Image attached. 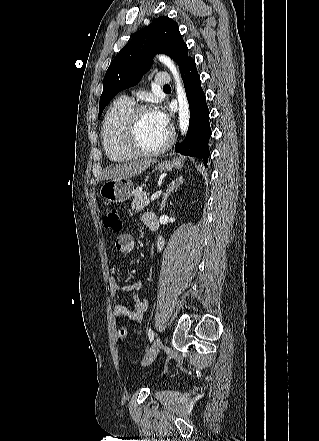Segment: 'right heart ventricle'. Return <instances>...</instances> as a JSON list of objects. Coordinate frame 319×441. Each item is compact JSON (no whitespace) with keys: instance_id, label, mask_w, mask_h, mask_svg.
Wrapping results in <instances>:
<instances>
[{"instance_id":"1","label":"right heart ventricle","mask_w":319,"mask_h":441,"mask_svg":"<svg viewBox=\"0 0 319 441\" xmlns=\"http://www.w3.org/2000/svg\"><path fill=\"white\" fill-rule=\"evenodd\" d=\"M134 106L131 99L120 97L112 102L104 116L101 127L102 143L106 155L112 161H127L135 157L123 140L125 122Z\"/></svg>"}]
</instances>
